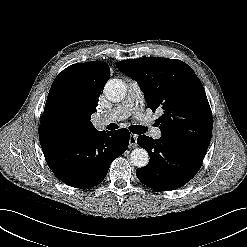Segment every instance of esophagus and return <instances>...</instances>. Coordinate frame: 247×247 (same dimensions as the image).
Returning <instances> with one entry per match:
<instances>
[{
  "mask_svg": "<svg viewBox=\"0 0 247 247\" xmlns=\"http://www.w3.org/2000/svg\"><path fill=\"white\" fill-rule=\"evenodd\" d=\"M136 147H137V135L130 134L129 148H136Z\"/></svg>",
  "mask_w": 247,
  "mask_h": 247,
  "instance_id": "1",
  "label": "esophagus"
}]
</instances>
